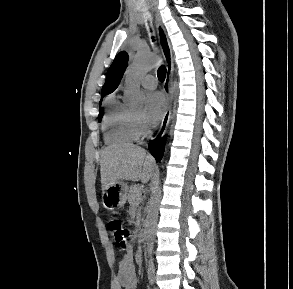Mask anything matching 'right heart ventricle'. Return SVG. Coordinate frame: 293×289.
<instances>
[{
    "mask_svg": "<svg viewBox=\"0 0 293 289\" xmlns=\"http://www.w3.org/2000/svg\"><path fill=\"white\" fill-rule=\"evenodd\" d=\"M105 108L106 113L103 120L105 142L109 145L134 142L139 135L134 112L114 94L106 99Z\"/></svg>",
    "mask_w": 293,
    "mask_h": 289,
    "instance_id": "1",
    "label": "right heart ventricle"
}]
</instances>
